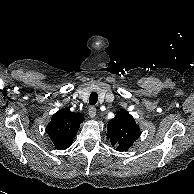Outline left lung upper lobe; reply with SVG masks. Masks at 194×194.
Wrapping results in <instances>:
<instances>
[{
    "label": "left lung upper lobe",
    "mask_w": 194,
    "mask_h": 194,
    "mask_svg": "<svg viewBox=\"0 0 194 194\" xmlns=\"http://www.w3.org/2000/svg\"><path fill=\"white\" fill-rule=\"evenodd\" d=\"M107 134L117 151H126L139 138L141 132L134 118L127 111L120 110L108 123Z\"/></svg>",
    "instance_id": "1"
}]
</instances>
